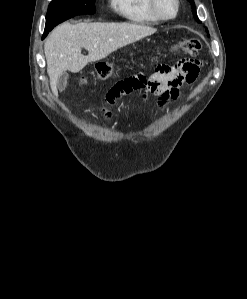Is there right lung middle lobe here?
<instances>
[{
  "label": "right lung middle lobe",
  "instance_id": "1",
  "mask_svg": "<svg viewBox=\"0 0 247 299\" xmlns=\"http://www.w3.org/2000/svg\"><path fill=\"white\" fill-rule=\"evenodd\" d=\"M95 0H52L46 15L43 37L59 23L76 15L95 13Z\"/></svg>",
  "mask_w": 247,
  "mask_h": 299
}]
</instances>
